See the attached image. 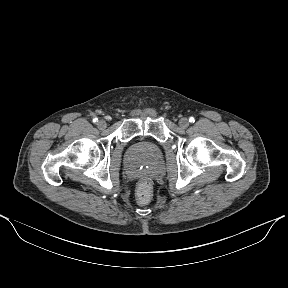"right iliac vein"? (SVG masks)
<instances>
[{"instance_id": "right-iliac-vein-1", "label": "right iliac vein", "mask_w": 288, "mask_h": 288, "mask_svg": "<svg viewBox=\"0 0 288 288\" xmlns=\"http://www.w3.org/2000/svg\"><path fill=\"white\" fill-rule=\"evenodd\" d=\"M97 127L100 129V130H103L107 127V123L105 120H99L98 123H97Z\"/></svg>"}]
</instances>
